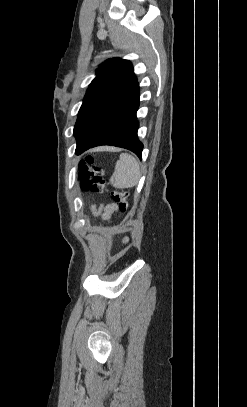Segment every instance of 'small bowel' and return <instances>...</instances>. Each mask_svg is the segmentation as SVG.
<instances>
[{
  "instance_id": "1",
  "label": "small bowel",
  "mask_w": 247,
  "mask_h": 407,
  "mask_svg": "<svg viewBox=\"0 0 247 407\" xmlns=\"http://www.w3.org/2000/svg\"><path fill=\"white\" fill-rule=\"evenodd\" d=\"M114 211L115 207L113 205L106 206L102 211V218L104 220H109Z\"/></svg>"
}]
</instances>
